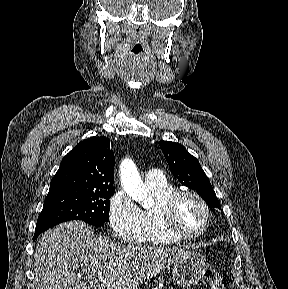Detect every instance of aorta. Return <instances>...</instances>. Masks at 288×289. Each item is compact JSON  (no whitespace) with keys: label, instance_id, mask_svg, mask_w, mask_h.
I'll use <instances>...</instances> for the list:
<instances>
[{"label":"aorta","instance_id":"1","mask_svg":"<svg viewBox=\"0 0 288 289\" xmlns=\"http://www.w3.org/2000/svg\"><path fill=\"white\" fill-rule=\"evenodd\" d=\"M122 187L125 192L144 208L153 206L154 201L149 191L141 180L135 163L130 159H124L120 166Z\"/></svg>","mask_w":288,"mask_h":289}]
</instances>
